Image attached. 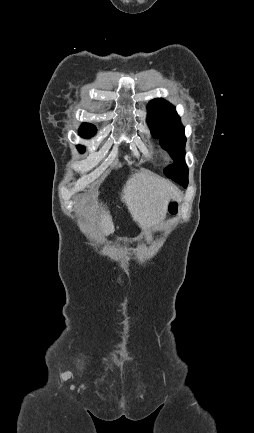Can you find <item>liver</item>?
Segmentation results:
<instances>
[{"mask_svg": "<svg viewBox=\"0 0 254 433\" xmlns=\"http://www.w3.org/2000/svg\"><path fill=\"white\" fill-rule=\"evenodd\" d=\"M178 196L179 190L166 179L147 171H138L124 185L121 200L133 220L146 229L161 220L168 210V203ZM100 227L106 235L115 230L110 212L102 204Z\"/></svg>", "mask_w": 254, "mask_h": 433, "instance_id": "obj_1", "label": "liver"}]
</instances>
